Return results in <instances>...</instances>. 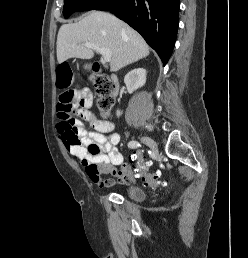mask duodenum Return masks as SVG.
<instances>
[{"label": "duodenum", "instance_id": "1", "mask_svg": "<svg viewBox=\"0 0 248 258\" xmlns=\"http://www.w3.org/2000/svg\"><path fill=\"white\" fill-rule=\"evenodd\" d=\"M94 72L97 74L100 72V65L98 62H95L94 63ZM110 80L114 86V90H113V96L116 97V95L118 94V91H119V81H118V78L116 75L112 74L110 76Z\"/></svg>", "mask_w": 248, "mask_h": 258}]
</instances>
